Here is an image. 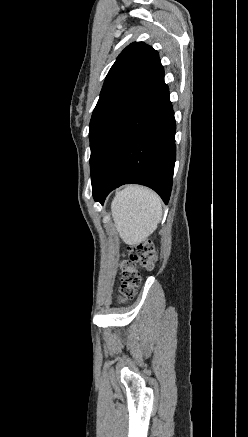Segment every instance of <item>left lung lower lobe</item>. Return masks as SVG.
<instances>
[{
    "label": "left lung lower lobe",
    "mask_w": 248,
    "mask_h": 437,
    "mask_svg": "<svg viewBox=\"0 0 248 437\" xmlns=\"http://www.w3.org/2000/svg\"><path fill=\"white\" fill-rule=\"evenodd\" d=\"M175 118L168 86L163 83L120 126L92 180L95 201L104 203L113 189L142 184L169 201L174 163Z\"/></svg>",
    "instance_id": "obj_1"
}]
</instances>
